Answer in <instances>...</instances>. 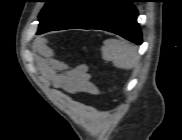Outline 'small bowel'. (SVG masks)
Listing matches in <instances>:
<instances>
[{"label": "small bowel", "mask_w": 182, "mask_h": 140, "mask_svg": "<svg viewBox=\"0 0 182 140\" xmlns=\"http://www.w3.org/2000/svg\"><path fill=\"white\" fill-rule=\"evenodd\" d=\"M46 76L54 88L61 89L67 93H97V87L91 81V76L85 66L67 69L64 63L51 60L47 63Z\"/></svg>", "instance_id": "1"}]
</instances>
